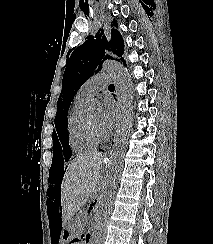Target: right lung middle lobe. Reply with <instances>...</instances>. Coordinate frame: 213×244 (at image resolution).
Wrapping results in <instances>:
<instances>
[{
	"label": "right lung middle lobe",
	"instance_id": "right-lung-middle-lobe-1",
	"mask_svg": "<svg viewBox=\"0 0 213 244\" xmlns=\"http://www.w3.org/2000/svg\"><path fill=\"white\" fill-rule=\"evenodd\" d=\"M67 148L68 149L65 148L63 143L61 145L59 140L55 136V134H53V159H52V165H51V168H50L49 178L52 177L53 174L63 170L64 159H63V156H62V152H64L63 154L65 156V161H67L70 158V157H67L65 155L66 151L70 150L69 144H67Z\"/></svg>",
	"mask_w": 213,
	"mask_h": 244
}]
</instances>
